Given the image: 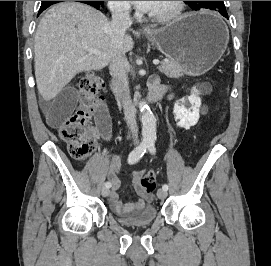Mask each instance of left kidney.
Wrapping results in <instances>:
<instances>
[{
    "mask_svg": "<svg viewBox=\"0 0 271 266\" xmlns=\"http://www.w3.org/2000/svg\"><path fill=\"white\" fill-rule=\"evenodd\" d=\"M190 106L187 108L183 102H177L174 105L173 113L177 126L189 130L196 125L199 120L201 99L195 91L188 97Z\"/></svg>",
    "mask_w": 271,
    "mask_h": 266,
    "instance_id": "1",
    "label": "left kidney"
}]
</instances>
